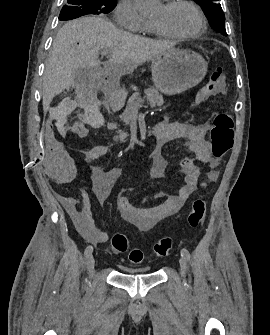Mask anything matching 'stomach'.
<instances>
[{
  "instance_id": "stomach-1",
  "label": "stomach",
  "mask_w": 270,
  "mask_h": 335,
  "mask_svg": "<svg viewBox=\"0 0 270 335\" xmlns=\"http://www.w3.org/2000/svg\"><path fill=\"white\" fill-rule=\"evenodd\" d=\"M151 68L155 88L166 96H175L200 84L208 64L193 50H169L155 56Z\"/></svg>"
}]
</instances>
